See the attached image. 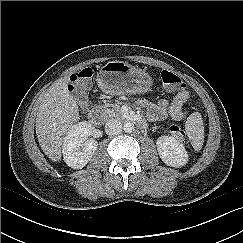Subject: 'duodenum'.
I'll list each match as a JSON object with an SVG mask.
<instances>
[{
    "mask_svg": "<svg viewBox=\"0 0 243 243\" xmlns=\"http://www.w3.org/2000/svg\"><path fill=\"white\" fill-rule=\"evenodd\" d=\"M88 121L92 124H98L102 121V116L97 109H92L88 113ZM130 121L136 123L141 129L146 127V123L141 116L135 115L130 118Z\"/></svg>",
    "mask_w": 243,
    "mask_h": 243,
    "instance_id": "410a0bca",
    "label": "duodenum"
}]
</instances>
